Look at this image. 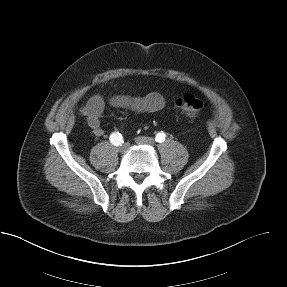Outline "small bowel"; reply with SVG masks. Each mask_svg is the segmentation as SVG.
<instances>
[{"instance_id":"1","label":"small bowel","mask_w":287,"mask_h":287,"mask_svg":"<svg viewBox=\"0 0 287 287\" xmlns=\"http://www.w3.org/2000/svg\"><path fill=\"white\" fill-rule=\"evenodd\" d=\"M110 104L116 108L128 109L136 113H155L165 106V100L159 93L146 95H116L111 98ZM105 109V101L102 96L94 95L85 106V117L92 133L100 137L104 134L101 118Z\"/></svg>"}]
</instances>
